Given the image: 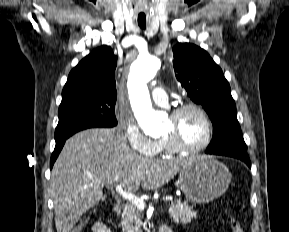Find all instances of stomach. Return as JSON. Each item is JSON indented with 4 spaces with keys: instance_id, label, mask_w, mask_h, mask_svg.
Here are the masks:
<instances>
[{
    "instance_id": "obj_1",
    "label": "stomach",
    "mask_w": 289,
    "mask_h": 232,
    "mask_svg": "<svg viewBox=\"0 0 289 232\" xmlns=\"http://www.w3.org/2000/svg\"><path fill=\"white\" fill-rule=\"evenodd\" d=\"M231 174L221 162L207 156L188 159L179 174L180 189L192 203H209L228 188Z\"/></svg>"
}]
</instances>
